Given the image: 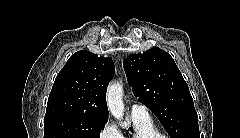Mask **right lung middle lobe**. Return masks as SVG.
I'll return each instance as SVG.
<instances>
[{"instance_id": "dd1d6c3e", "label": "right lung middle lobe", "mask_w": 240, "mask_h": 138, "mask_svg": "<svg viewBox=\"0 0 240 138\" xmlns=\"http://www.w3.org/2000/svg\"><path fill=\"white\" fill-rule=\"evenodd\" d=\"M107 121L72 114L44 118V138H99Z\"/></svg>"}]
</instances>
